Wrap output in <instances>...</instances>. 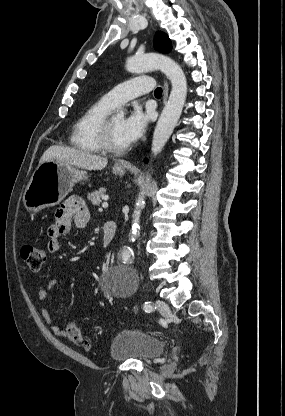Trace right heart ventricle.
<instances>
[{
  "label": "right heart ventricle",
  "mask_w": 285,
  "mask_h": 416,
  "mask_svg": "<svg viewBox=\"0 0 285 416\" xmlns=\"http://www.w3.org/2000/svg\"><path fill=\"white\" fill-rule=\"evenodd\" d=\"M110 109L102 98L87 106L76 120L70 135V143L75 149L85 154L102 152L97 139V128Z\"/></svg>",
  "instance_id": "right-heart-ventricle-1"
}]
</instances>
